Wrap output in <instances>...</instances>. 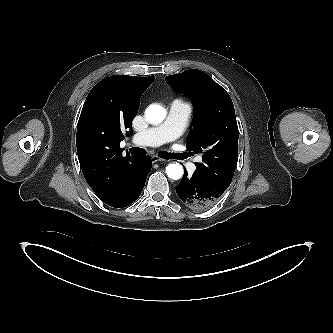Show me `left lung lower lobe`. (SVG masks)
I'll list each match as a JSON object with an SVG mask.
<instances>
[{
  "instance_id": "0a47b994",
  "label": "left lung lower lobe",
  "mask_w": 333,
  "mask_h": 333,
  "mask_svg": "<svg viewBox=\"0 0 333 333\" xmlns=\"http://www.w3.org/2000/svg\"><path fill=\"white\" fill-rule=\"evenodd\" d=\"M224 191L195 171L192 176H188L185 171L181 182L176 186V192L181 201L195 210L209 209Z\"/></svg>"
}]
</instances>
